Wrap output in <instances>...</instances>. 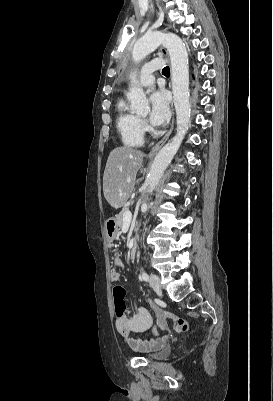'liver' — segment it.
<instances>
[{"label": "liver", "instance_id": "6515ba94", "mask_svg": "<svg viewBox=\"0 0 273 401\" xmlns=\"http://www.w3.org/2000/svg\"><path fill=\"white\" fill-rule=\"evenodd\" d=\"M144 152L117 146L111 150L103 176V192L111 207L120 209L134 190L137 170L141 168Z\"/></svg>", "mask_w": 273, "mask_h": 401}]
</instances>
